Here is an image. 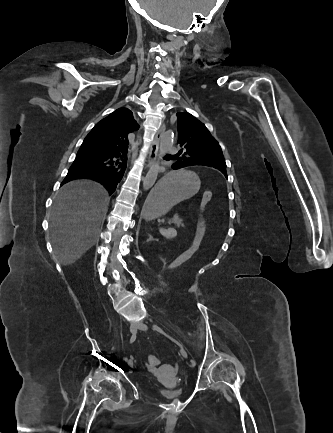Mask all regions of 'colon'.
Instances as JSON below:
<instances>
[{
    "mask_svg": "<svg viewBox=\"0 0 333 433\" xmlns=\"http://www.w3.org/2000/svg\"><path fill=\"white\" fill-rule=\"evenodd\" d=\"M212 194L211 192H206L202 199H201V206L204 207L211 199ZM205 230V220L203 217L199 220V231L195 238V243L191 244L190 247H188L187 250L183 251L180 256L177 257V260H173L172 264L167 265V270L169 271H175L176 267L182 268L189 260H191L194 257V254L196 252V249L199 248V244L203 238ZM157 362H160V359L155 355H149L147 359V366L149 368H155L157 369Z\"/></svg>",
    "mask_w": 333,
    "mask_h": 433,
    "instance_id": "colon-1",
    "label": "colon"
}]
</instances>
